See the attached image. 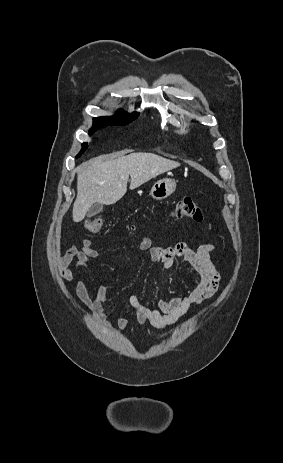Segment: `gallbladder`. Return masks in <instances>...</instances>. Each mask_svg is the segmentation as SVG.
Instances as JSON below:
<instances>
[{
	"instance_id": "1",
	"label": "gallbladder",
	"mask_w": 283,
	"mask_h": 463,
	"mask_svg": "<svg viewBox=\"0 0 283 463\" xmlns=\"http://www.w3.org/2000/svg\"><path fill=\"white\" fill-rule=\"evenodd\" d=\"M103 210V205L102 204H94L87 212V217L88 218H91L93 216H95L96 214L102 212Z\"/></svg>"
}]
</instances>
